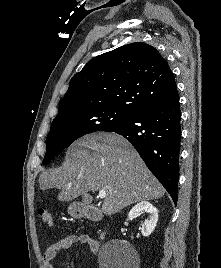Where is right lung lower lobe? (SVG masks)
I'll return each mask as SVG.
<instances>
[{
    "mask_svg": "<svg viewBox=\"0 0 221 268\" xmlns=\"http://www.w3.org/2000/svg\"><path fill=\"white\" fill-rule=\"evenodd\" d=\"M179 97L142 110L110 130L125 137L177 203L181 139Z\"/></svg>",
    "mask_w": 221,
    "mask_h": 268,
    "instance_id": "right-lung-lower-lobe-1",
    "label": "right lung lower lobe"
}]
</instances>
